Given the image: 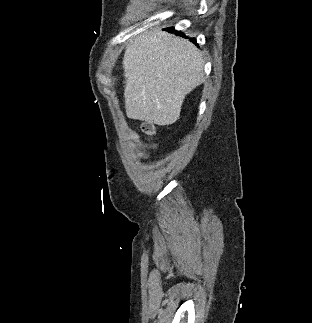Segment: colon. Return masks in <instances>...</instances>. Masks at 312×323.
<instances>
[{
    "instance_id": "1",
    "label": "colon",
    "mask_w": 312,
    "mask_h": 323,
    "mask_svg": "<svg viewBox=\"0 0 312 323\" xmlns=\"http://www.w3.org/2000/svg\"><path fill=\"white\" fill-rule=\"evenodd\" d=\"M151 131H152V126L151 124L147 123L146 126L143 127V132L151 133Z\"/></svg>"
}]
</instances>
